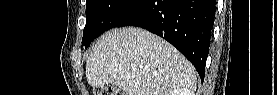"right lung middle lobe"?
Instances as JSON below:
<instances>
[{
  "label": "right lung middle lobe",
  "instance_id": "right-lung-middle-lobe-1",
  "mask_svg": "<svg viewBox=\"0 0 277 95\" xmlns=\"http://www.w3.org/2000/svg\"><path fill=\"white\" fill-rule=\"evenodd\" d=\"M143 0H86V25L82 45L90 43L104 31L115 27Z\"/></svg>",
  "mask_w": 277,
  "mask_h": 95
}]
</instances>
